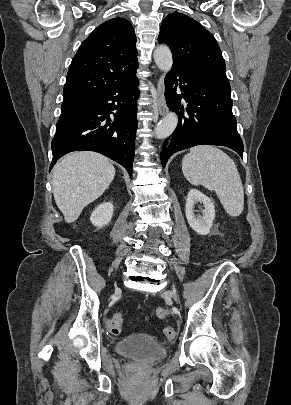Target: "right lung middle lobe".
Here are the masks:
<instances>
[{
  "instance_id": "obj_1",
  "label": "right lung middle lobe",
  "mask_w": 291,
  "mask_h": 405,
  "mask_svg": "<svg viewBox=\"0 0 291 405\" xmlns=\"http://www.w3.org/2000/svg\"><path fill=\"white\" fill-rule=\"evenodd\" d=\"M85 103V102H84ZM84 103H68V104H62L61 106V115L60 118H63L70 113L74 112L76 109H78L80 106H82Z\"/></svg>"
}]
</instances>
